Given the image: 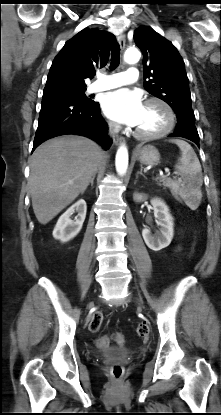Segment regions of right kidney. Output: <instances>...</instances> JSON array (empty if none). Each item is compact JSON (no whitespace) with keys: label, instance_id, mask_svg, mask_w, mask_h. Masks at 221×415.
Returning a JSON list of instances; mask_svg holds the SVG:
<instances>
[{"label":"right kidney","instance_id":"ca27d5eb","mask_svg":"<svg viewBox=\"0 0 221 415\" xmlns=\"http://www.w3.org/2000/svg\"><path fill=\"white\" fill-rule=\"evenodd\" d=\"M87 205L84 200H79L64 212L58 219L53 230V237L61 242H68L73 239L82 229L86 217ZM74 212L78 215L71 220Z\"/></svg>","mask_w":221,"mask_h":415}]
</instances>
